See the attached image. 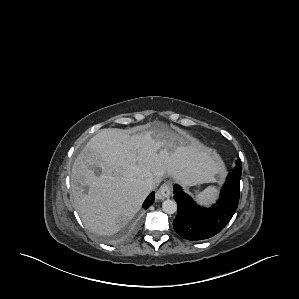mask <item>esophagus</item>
Masks as SVG:
<instances>
[{
  "label": "esophagus",
  "instance_id": "1",
  "mask_svg": "<svg viewBox=\"0 0 299 299\" xmlns=\"http://www.w3.org/2000/svg\"><path fill=\"white\" fill-rule=\"evenodd\" d=\"M172 193V186L170 182L164 183L156 193V199L163 200L169 198Z\"/></svg>",
  "mask_w": 299,
  "mask_h": 299
}]
</instances>
